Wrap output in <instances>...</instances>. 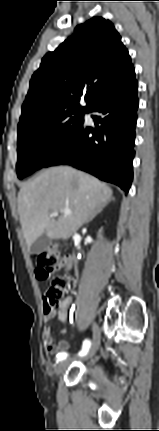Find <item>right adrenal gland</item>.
Returning a JSON list of instances; mask_svg holds the SVG:
<instances>
[{"instance_id":"obj_1","label":"right adrenal gland","mask_w":159,"mask_h":431,"mask_svg":"<svg viewBox=\"0 0 159 431\" xmlns=\"http://www.w3.org/2000/svg\"><path fill=\"white\" fill-rule=\"evenodd\" d=\"M114 200V199H113ZM106 206V203L105 204H103V205H101L100 207H98L95 211H94V213H93V215L87 220V222H89V221H91L98 213H100L101 211H102V209L104 208Z\"/></svg>"}]
</instances>
